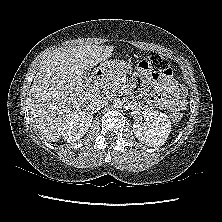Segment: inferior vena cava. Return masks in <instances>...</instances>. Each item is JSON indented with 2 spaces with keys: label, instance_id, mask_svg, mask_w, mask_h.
Here are the masks:
<instances>
[{
  "label": "inferior vena cava",
  "instance_id": "obj_1",
  "mask_svg": "<svg viewBox=\"0 0 222 222\" xmlns=\"http://www.w3.org/2000/svg\"><path fill=\"white\" fill-rule=\"evenodd\" d=\"M108 104L107 95L95 93L90 98V106L92 109H100Z\"/></svg>",
  "mask_w": 222,
  "mask_h": 222
}]
</instances>
